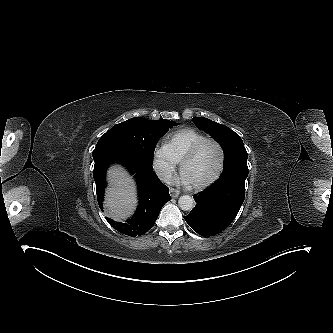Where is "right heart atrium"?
I'll return each instance as SVG.
<instances>
[{"label": "right heart atrium", "mask_w": 333, "mask_h": 333, "mask_svg": "<svg viewBox=\"0 0 333 333\" xmlns=\"http://www.w3.org/2000/svg\"><path fill=\"white\" fill-rule=\"evenodd\" d=\"M178 161L173 157L167 146H158L153 153V168L163 179L168 180L172 176Z\"/></svg>", "instance_id": "obj_1"}]
</instances>
